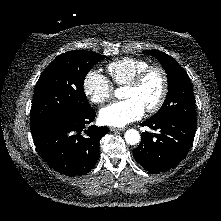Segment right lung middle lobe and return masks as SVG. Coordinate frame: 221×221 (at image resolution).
<instances>
[{
	"instance_id": "right-lung-middle-lobe-1",
	"label": "right lung middle lobe",
	"mask_w": 221,
	"mask_h": 221,
	"mask_svg": "<svg viewBox=\"0 0 221 221\" xmlns=\"http://www.w3.org/2000/svg\"><path fill=\"white\" fill-rule=\"evenodd\" d=\"M104 55L75 50L56 57L36 83L30 112L31 129L63 114L91 109L83 89L85 76Z\"/></svg>"
}]
</instances>
